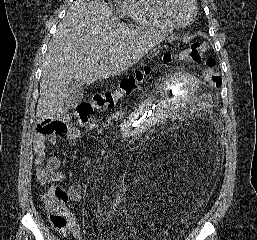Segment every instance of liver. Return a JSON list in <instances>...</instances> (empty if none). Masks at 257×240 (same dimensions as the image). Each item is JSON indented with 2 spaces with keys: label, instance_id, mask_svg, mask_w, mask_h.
Segmentation results:
<instances>
[{
  "label": "liver",
  "instance_id": "1",
  "mask_svg": "<svg viewBox=\"0 0 257 240\" xmlns=\"http://www.w3.org/2000/svg\"><path fill=\"white\" fill-rule=\"evenodd\" d=\"M111 15L103 0H76L69 7L42 66L38 118L58 116L72 80L89 85L121 74L165 40L150 31L115 23Z\"/></svg>",
  "mask_w": 257,
  "mask_h": 240
}]
</instances>
